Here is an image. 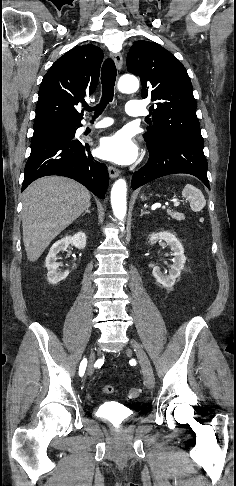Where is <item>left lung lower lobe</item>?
Masks as SVG:
<instances>
[{
	"instance_id": "left-lung-lower-lobe-1",
	"label": "left lung lower lobe",
	"mask_w": 236,
	"mask_h": 486,
	"mask_svg": "<svg viewBox=\"0 0 236 486\" xmlns=\"http://www.w3.org/2000/svg\"><path fill=\"white\" fill-rule=\"evenodd\" d=\"M149 160L133 175L132 189L165 175L187 173L199 178L209 189L207 161L203 142L186 137L173 136L147 144Z\"/></svg>"
}]
</instances>
